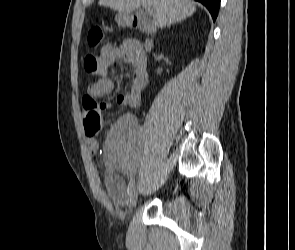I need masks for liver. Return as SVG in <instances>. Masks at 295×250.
Returning a JSON list of instances; mask_svg holds the SVG:
<instances>
[{"label":"liver","mask_w":295,"mask_h":250,"mask_svg":"<svg viewBox=\"0 0 295 250\" xmlns=\"http://www.w3.org/2000/svg\"><path fill=\"white\" fill-rule=\"evenodd\" d=\"M98 4L128 14L140 6L151 7L153 23L160 28L184 20L196 11L195 4L190 0H99Z\"/></svg>","instance_id":"6515ba94"}]
</instances>
